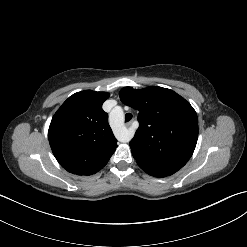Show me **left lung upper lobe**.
I'll use <instances>...</instances> for the list:
<instances>
[{"label":"left lung upper lobe","mask_w":247,"mask_h":247,"mask_svg":"<svg viewBox=\"0 0 247 247\" xmlns=\"http://www.w3.org/2000/svg\"><path fill=\"white\" fill-rule=\"evenodd\" d=\"M121 101L138 110L139 128L130 142L138 165L162 176L181 169L192 156L198 138L195 110L176 92L151 86L124 87Z\"/></svg>","instance_id":"left-lung-upper-lobe-1"}]
</instances>
